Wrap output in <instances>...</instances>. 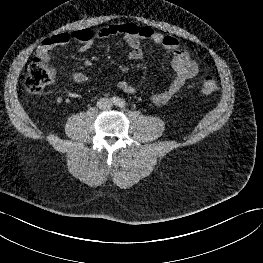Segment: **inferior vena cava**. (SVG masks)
<instances>
[{"mask_svg":"<svg viewBox=\"0 0 263 263\" xmlns=\"http://www.w3.org/2000/svg\"><path fill=\"white\" fill-rule=\"evenodd\" d=\"M97 107L102 110L110 109L112 107V102L108 98H100L97 101Z\"/></svg>","mask_w":263,"mask_h":263,"instance_id":"inferior-vena-cava-1","label":"inferior vena cava"}]
</instances>
